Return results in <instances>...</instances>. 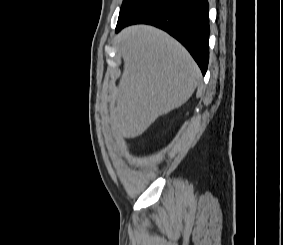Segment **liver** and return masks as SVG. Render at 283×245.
<instances>
[{"label": "liver", "mask_w": 283, "mask_h": 245, "mask_svg": "<svg viewBox=\"0 0 283 245\" xmlns=\"http://www.w3.org/2000/svg\"><path fill=\"white\" fill-rule=\"evenodd\" d=\"M123 75L112 113L118 133L141 135L161 115L185 104L201 79L191 55L167 33L135 25L120 33Z\"/></svg>", "instance_id": "1"}]
</instances>
